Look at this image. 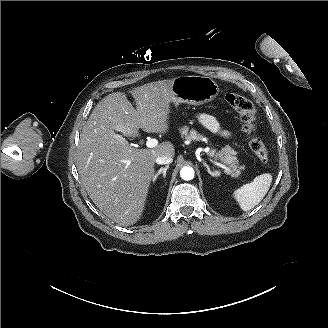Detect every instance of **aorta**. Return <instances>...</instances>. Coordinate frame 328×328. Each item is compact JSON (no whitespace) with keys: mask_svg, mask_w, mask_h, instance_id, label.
Here are the masks:
<instances>
[{"mask_svg":"<svg viewBox=\"0 0 328 328\" xmlns=\"http://www.w3.org/2000/svg\"><path fill=\"white\" fill-rule=\"evenodd\" d=\"M180 176L183 180H192L194 178V169L192 167L185 166L180 170Z\"/></svg>","mask_w":328,"mask_h":328,"instance_id":"obj_1","label":"aorta"}]
</instances>
